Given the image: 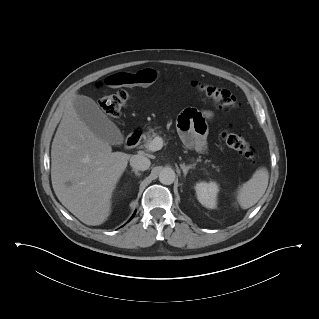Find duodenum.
I'll list each match as a JSON object with an SVG mask.
<instances>
[{"mask_svg": "<svg viewBox=\"0 0 319 319\" xmlns=\"http://www.w3.org/2000/svg\"><path fill=\"white\" fill-rule=\"evenodd\" d=\"M141 139V133L139 131H134L130 133L125 140V147L130 149L135 147Z\"/></svg>", "mask_w": 319, "mask_h": 319, "instance_id": "obj_1", "label": "duodenum"}]
</instances>
